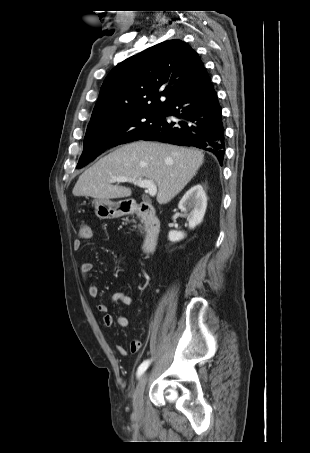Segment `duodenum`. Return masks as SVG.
<instances>
[{
  "label": "duodenum",
  "instance_id": "410a0bca",
  "mask_svg": "<svg viewBox=\"0 0 310 453\" xmlns=\"http://www.w3.org/2000/svg\"><path fill=\"white\" fill-rule=\"evenodd\" d=\"M125 215L134 214L144 224L145 237L142 243V250L145 253L154 251L159 235H160V220L156 215L154 207L150 203H141L138 206H131L123 210Z\"/></svg>",
  "mask_w": 310,
  "mask_h": 453
}]
</instances>
